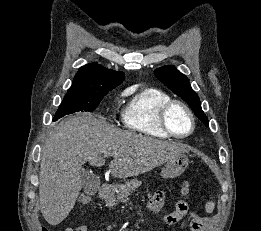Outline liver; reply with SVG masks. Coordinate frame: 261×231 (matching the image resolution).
I'll return each instance as SVG.
<instances>
[{
  "label": "liver",
  "instance_id": "obj_1",
  "mask_svg": "<svg viewBox=\"0 0 261 231\" xmlns=\"http://www.w3.org/2000/svg\"><path fill=\"white\" fill-rule=\"evenodd\" d=\"M188 147L124 131L90 114L62 120L46 138L40 164V211L50 225L71 212L82 189L80 170L89 162L104 164L102 154H113L109 170L116 178L148 172Z\"/></svg>",
  "mask_w": 261,
  "mask_h": 231
}]
</instances>
